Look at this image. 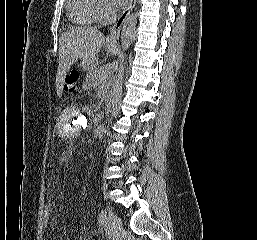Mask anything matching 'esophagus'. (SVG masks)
<instances>
[{
  "instance_id": "esophagus-1",
  "label": "esophagus",
  "mask_w": 257,
  "mask_h": 240,
  "mask_svg": "<svg viewBox=\"0 0 257 240\" xmlns=\"http://www.w3.org/2000/svg\"><path fill=\"white\" fill-rule=\"evenodd\" d=\"M137 0H130V4L128 7L119 15L118 19L116 20L115 24L112 26L110 30V34L107 37V42L114 44L117 42L120 36V31L123 23L125 22L128 15L131 13L133 8L136 5Z\"/></svg>"
}]
</instances>
